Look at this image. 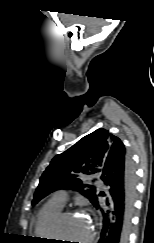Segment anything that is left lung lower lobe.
I'll list each match as a JSON object with an SVG mask.
<instances>
[{"mask_svg":"<svg viewBox=\"0 0 154 243\" xmlns=\"http://www.w3.org/2000/svg\"><path fill=\"white\" fill-rule=\"evenodd\" d=\"M100 179L107 191H99L92 202L103 218L98 243H128L135 200V170L125 147L109 155ZM104 197V198H103Z\"/></svg>","mask_w":154,"mask_h":243,"instance_id":"left-lung-lower-lobe-1","label":"left lung lower lobe"}]
</instances>
